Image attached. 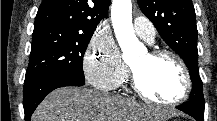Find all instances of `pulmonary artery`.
I'll return each instance as SVG.
<instances>
[{
	"instance_id": "pulmonary-artery-1",
	"label": "pulmonary artery",
	"mask_w": 217,
	"mask_h": 121,
	"mask_svg": "<svg viewBox=\"0 0 217 121\" xmlns=\"http://www.w3.org/2000/svg\"><path fill=\"white\" fill-rule=\"evenodd\" d=\"M134 29L139 37L152 42L155 38L156 30L154 25L145 17L137 16L134 18Z\"/></svg>"
}]
</instances>
